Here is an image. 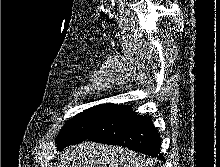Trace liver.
<instances>
[{
  "label": "liver",
  "instance_id": "liver-1",
  "mask_svg": "<svg viewBox=\"0 0 220 167\" xmlns=\"http://www.w3.org/2000/svg\"><path fill=\"white\" fill-rule=\"evenodd\" d=\"M144 155L94 142L70 146L60 154L57 167H148Z\"/></svg>",
  "mask_w": 220,
  "mask_h": 167
}]
</instances>
